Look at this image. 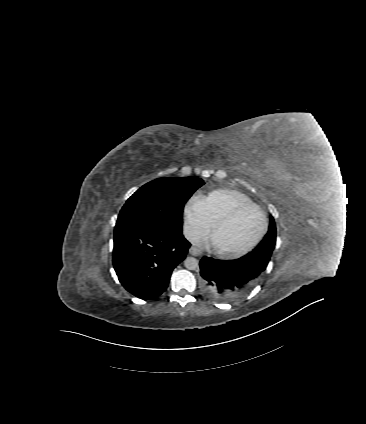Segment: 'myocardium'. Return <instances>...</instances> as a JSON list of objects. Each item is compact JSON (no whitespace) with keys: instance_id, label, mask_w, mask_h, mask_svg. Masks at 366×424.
Segmentation results:
<instances>
[{"instance_id":"obj_1","label":"myocardium","mask_w":366,"mask_h":424,"mask_svg":"<svg viewBox=\"0 0 366 424\" xmlns=\"http://www.w3.org/2000/svg\"><path fill=\"white\" fill-rule=\"evenodd\" d=\"M248 209H255V210L259 211L260 214L262 215L263 226H262V229H261L259 235L249 245H247L244 248L237 249V250L224 249V248H221V247L217 246L216 244H214L216 251L220 255L225 256V257H239V256H242V255L247 254L248 252L252 251L263 240L264 236L267 233V229H268V217H267L266 212L259 205H257V204H243V205H240V206L234 208L233 210H231L230 212H228L227 214H225L224 216L220 217L213 224L212 232H211V237L214 240V235H215V232L218 230V228H220L221 226H223V225H225L227 223H230L239 214H241L242 212H244V211H246Z\"/></svg>"}]
</instances>
